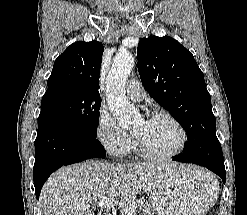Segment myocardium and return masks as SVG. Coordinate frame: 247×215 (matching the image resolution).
<instances>
[{
	"label": "myocardium",
	"mask_w": 247,
	"mask_h": 215,
	"mask_svg": "<svg viewBox=\"0 0 247 215\" xmlns=\"http://www.w3.org/2000/svg\"><path fill=\"white\" fill-rule=\"evenodd\" d=\"M160 118L167 119V120L171 121L176 126V128L179 130V133H180V143L174 151L169 152V153H165V154H158V153H153V152L149 151L145 147V145L143 144L141 139L136 134H132L133 140H134V145H135L137 152L143 158L151 160V161H163V160H169V159H172L174 157H177L178 155H180L183 152V150L186 147L187 141H188V134H187L185 127L171 113L166 112V111H155V112H152L148 116L147 120H155V119H160Z\"/></svg>",
	"instance_id": "obj_1"
}]
</instances>
